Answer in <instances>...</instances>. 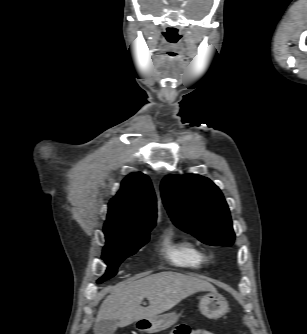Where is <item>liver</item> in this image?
<instances>
[{
  "label": "liver",
  "mask_w": 307,
  "mask_h": 334,
  "mask_svg": "<svg viewBox=\"0 0 307 334\" xmlns=\"http://www.w3.org/2000/svg\"><path fill=\"white\" fill-rule=\"evenodd\" d=\"M199 291L216 292V289L207 281L181 273L165 271L152 274L115 287L102 302L96 322L117 320L120 327H125L168 311ZM144 298L149 301L148 307L141 306Z\"/></svg>",
  "instance_id": "obj_1"
}]
</instances>
